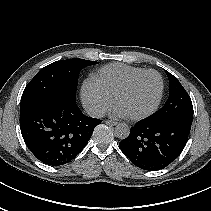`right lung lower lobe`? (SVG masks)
<instances>
[{
  "label": "right lung lower lobe",
  "mask_w": 211,
  "mask_h": 211,
  "mask_svg": "<svg viewBox=\"0 0 211 211\" xmlns=\"http://www.w3.org/2000/svg\"><path fill=\"white\" fill-rule=\"evenodd\" d=\"M100 123L85 116L75 101L49 99L20 108V129L27 147L51 166L73 160Z\"/></svg>",
  "instance_id": "obj_1"
}]
</instances>
